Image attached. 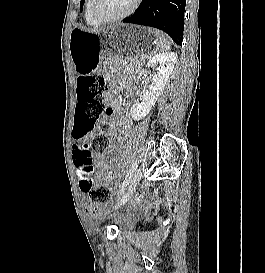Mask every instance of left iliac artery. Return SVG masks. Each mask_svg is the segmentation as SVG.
<instances>
[{
  "mask_svg": "<svg viewBox=\"0 0 265 273\" xmlns=\"http://www.w3.org/2000/svg\"><path fill=\"white\" fill-rule=\"evenodd\" d=\"M137 166H138L137 160H135V161L133 162V164H132V166H131V168H130V170H129V173L127 174V176H126V178H125V180H124L122 186H121L120 189H119L118 195L121 194V193L125 190V188L127 187V185L130 183L131 178H132L134 172H135L136 169H137Z\"/></svg>",
  "mask_w": 265,
  "mask_h": 273,
  "instance_id": "obj_1",
  "label": "left iliac artery"
}]
</instances>
